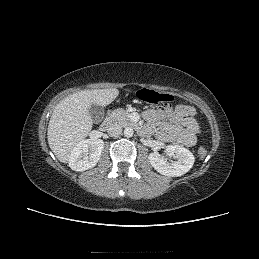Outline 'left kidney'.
Here are the masks:
<instances>
[{
	"label": "left kidney",
	"mask_w": 259,
	"mask_h": 259,
	"mask_svg": "<svg viewBox=\"0 0 259 259\" xmlns=\"http://www.w3.org/2000/svg\"><path fill=\"white\" fill-rule=\"evenodd\" d=\"M165 152L167 155H176L177 160L168 162L164 156L150 153L148 159L153 168L162 175L178 177L187 173L193 166L194 155L180 145H168Z\"/></svg>",
	"instance_id": "5707ae66"
}]
</instances>
